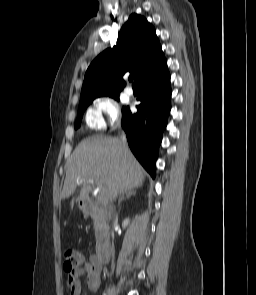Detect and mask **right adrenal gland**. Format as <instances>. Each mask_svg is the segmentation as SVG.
Masks as SVG:
<instances>
[{"label": "right adrenal gland", "mask_w": 256, "mask_h": 295, "mask_svg": "<svg viewBox=\"0 0 256 295\" xmlns=\"http://www.w3.org/2000/svg\"><path fill=\"white\" fill-rule=\"evenodd\" d=\"M136 194V191L135 190H129V191H126L125 193L122 194V196L120 197L119 199V202H118V205H120V203L125 199V198H129L130 196L132 195H135Z\"/></svg>", "instance_id": "obj_1"}]
</instances>
